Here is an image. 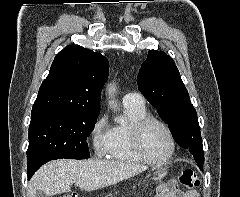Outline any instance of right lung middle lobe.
<instances>
[{"label":"right lung middle lobe","mask_w":240,"mask_h":197,"mask_svg":"<svg viewBox=\"0 0 240 197\" xmlns=\"http://www.w3.org/2000/svg\"><path fill=\"white\" fill-rule=\"evenodd\" d=\"M99 113L45 111L32 113L27 150L28 178L52 159H87V137Z\"/></svg>","instance_id":"dd1d6c3e"}]
</instances>
